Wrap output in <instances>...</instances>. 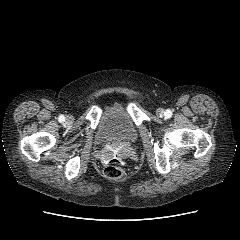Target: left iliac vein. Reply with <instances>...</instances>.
Segmentation results:
<instances>
[{
    "instance_id": "obj_1",
    "label": "left iliac vein",
    "mask_w": 240,
    "mask_h": 240,
    "mask_svg": "<svg viewBox=\"0 0 240 240\" xmlns=\"http://www.w3.org/2000/svg\"><path fill=\"white\" fill-rule=\"evenodd\" d=\"M164 113H165V111H164L163 108H158V109L156 110V114H157L159 117H163V116H164Z\"/></svg>"
}]
</instances>
